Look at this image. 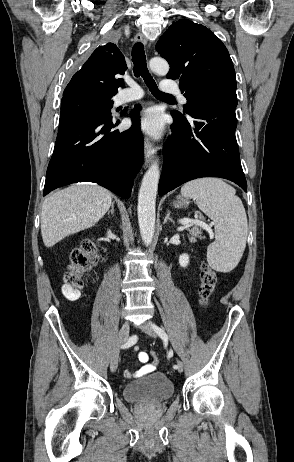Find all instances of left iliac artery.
<instances>
[{"mask_svg": "<svg viewBox=\"0 0 294 462\" xmlns=\"http://www.w3.org/2000/svg\"><path fill=\"white\" fill-rule=\"evenodd\" d=\"M152 326H153L155 332H156L163 340H168V336H167V334L165 333V331H164L162 328L158 327V326L155 325V324H153ZM170 347H171V346H170ZM166 354H167V360H172V358H174V356H175L172 349H169V350L167 351ZM173 368H174V369H177V365H174Z\"/></svg>", "mask_w": 294, "mask_h": 462, "instance_id": "obj_1", "label": "left iliac artery"}]
</instances>
